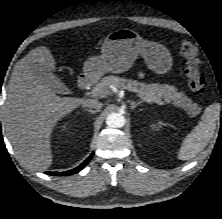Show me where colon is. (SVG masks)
<instances>
[{"label":"colon","mask_w":222,"mask_h":219,"mask_svg":"<svg viewBox=\"0 0 222 219\" xmlns=\"http://www.w3.org/2000/svg\"><path fill=\"white\" fill-rule=\"evenodd\" d=\"M180 52L186 60V76L190 90L196 94H202L206 89V81L200 72V60L194 44L190 41L180 43Z\"/></svg>","instance_id":"5ec220e1"}]
</instances>
